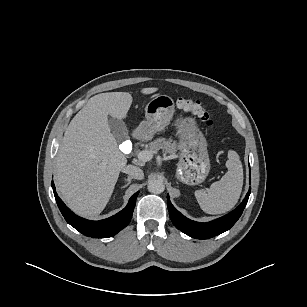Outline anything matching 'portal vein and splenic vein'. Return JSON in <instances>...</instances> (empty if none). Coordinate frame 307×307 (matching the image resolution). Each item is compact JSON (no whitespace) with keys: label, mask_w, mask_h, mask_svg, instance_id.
Listing matches in <instances>:
<instances>
[{"label":"portal vein and splenic vein","mask_w":307,"mask_h":307,"mask_svg":"<svg viewBox=\"0 0 307 307\" xmlns=\"http://www.w3.org/2000/svg\"><path fill=\"white\" fill-rule=\"evenodd\" d=\"M137 158L142 162L150 161L153 158V152L150 150H142L137 154Z\"/></svg>","instance_id":"obj_1"}]
</instances>
